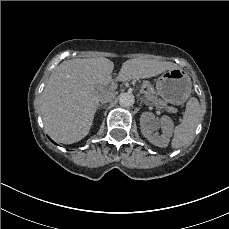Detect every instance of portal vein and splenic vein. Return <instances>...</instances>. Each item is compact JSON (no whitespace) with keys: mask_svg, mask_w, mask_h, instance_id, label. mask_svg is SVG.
Segmentation results:
<instances>
[{"mask_svg":"<svg viewBox=\"0 0 229 229\" xmlns=\"http://www.w3.org/2000/svg\"><path fill=\"white\" fill-rule=\"evenodd\" d=\"M114 89H116V85H115V84H113V85H111V86L109 87V90H114Z\"/></svg>","mask_w":229,"mask_h":229,"instance_id":"1","label":"portal vein and splenic vein"}]
</instances>
